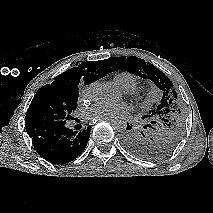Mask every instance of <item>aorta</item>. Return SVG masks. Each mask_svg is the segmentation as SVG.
<instances>
[{
	"instance_id": "obj_1",
	"label": "aorta",
	"mask_w": 213,
	"mask_h": 213,
	"mask_svg": "<svg viewBox=\"0 0 213 213\" xmlns=\"http://www.w3.org/2000/svg\"><path fill=\"white\" fill-rule=\"evenodd\" d=\"M93 96L98 102L112 104L120 99V92L109 84H100L95 88ZM112 125L117 131H124L127 127V123L123 119H115Z\"/></svg>"
}]
</instances>
